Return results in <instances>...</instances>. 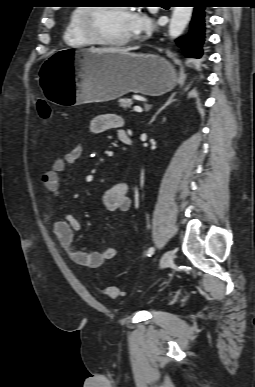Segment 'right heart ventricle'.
<instances>
[{
	"label": "right heart ventricle",
	"instance_id": "obj_1",
	"mask_svg": "<svg viewBox=\"0 0 255 387\" xmlns=\"http://www.w3.org/2000/svg\"><path fill=\"white\" fill-rule=\"evenodd\" d=\"M83 9V6H77L71 11L63 33L64 42L74 48L92 45V42L83 34L80 27V17Z\"/></svg>",
	"mask_w": 255,
	"mask_h": 387
}]
</instances>
